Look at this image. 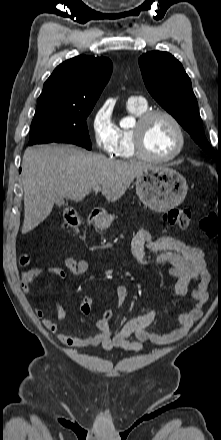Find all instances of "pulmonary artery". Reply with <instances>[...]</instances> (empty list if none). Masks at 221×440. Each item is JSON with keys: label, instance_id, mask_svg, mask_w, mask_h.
Here are the masks:
<instances>
[{"label": "pulmonary artery", "instance_id": "1", "mask_svg": "<svg viewBox=\"0 0 221 440\" xmlns=\"http://www.w3.org/2000/svg\"><path fill=\"white\" fill-rule=\"evenodd\" d=\"M128 102L146 103L142 96H131L129 97Z\"/></svg>", "mask_w": 221, "mask_h": 440}]
</instances>
